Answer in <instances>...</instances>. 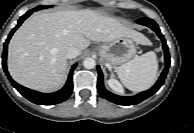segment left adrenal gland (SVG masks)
Returning <instances> with one entry per match:
<instances>
[{
	"label": "left adrenal gland",
	"instance_id": "obj_1",
	"mask_svg": "<svg viewBox=\"0 0 194 133\" xmlns=\"http://www.w3.org/2000/svg\"><path fill=\"white\" fill-rule=\"evenodd\" d=\"M110 72H111V77H114V73L112 72V70H110Z\"/></svg>",
	"mask_w": 194,
	"mask_h": 133
}]
</instances>
